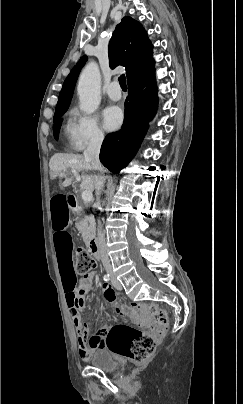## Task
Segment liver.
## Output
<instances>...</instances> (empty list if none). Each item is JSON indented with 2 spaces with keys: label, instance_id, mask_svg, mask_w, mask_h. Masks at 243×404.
I'll use <instances>...</instances> for the list:
<instances>
[{
  "label": "liver",
  "instance_id": "1",
  "mask_svg": "<svg viewBox=\"0 0 243 404\" xmlns=\"http://www.w3.org/2000/svg\"><path fill=\"white\" fill-rule=\"evenodd\" d=\"M49 168L52 172V176H60L62 170H75V172H80V170H93L90 162H86L83 156H77V154H54L49 162ZM83 182L80 184L81 190H88V192H93L95 188V180L93 176H82ZM72 184V178H66L62 186H70Z\"/></svg>",
  "mask_w": 243,
  "mask_h": 404
}]
</instances>
